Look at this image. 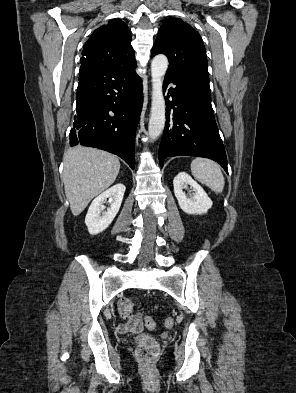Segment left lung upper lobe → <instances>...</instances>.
Instances as JSON below:
<instances>
[{
	"label": "left lung upper lobe",
	"mask_w": 296,
	"mask_h": 393,
	"mask_svg": "<svg viewBox=\"0 0 296 393\" xmlns=\"http://www.w3.org/2000/svg\"><path fill=\"white\" fill-rule=\"evenodd\" d=\"M164 53L170 62L166 75L179 80L209 82L206 50L198 32L178 18L161 26L152 55Z\"/></svg>",
	"instance_id": "1"
}]
</instances>
